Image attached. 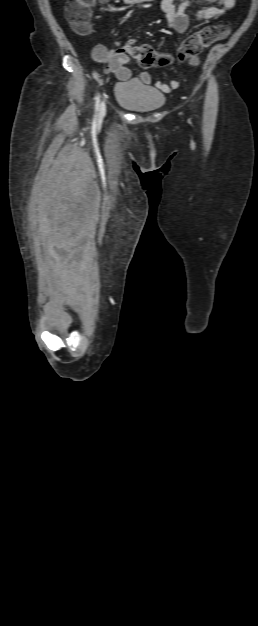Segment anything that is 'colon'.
<instances>
[{"mask_svg": "<svg viewBox=\"0 0 258 626\" xmlns=\"http://www.w3.org/2000/svg\"><path fill=\"white\" fill-rule=\"evenodd\" d=\"M94 0H68L66 5L67 19L77 33L84 34L90 30V7ZM229 28L225 25L208 26L190 35L179 47L177 57L187 60L196 56L203 48L225 38ZM129 53L141 66L152 67L166 64L169 60L158 57L149 45H136L129 40L125 45Z\"/></svg>", "mask_w": 258, "mask_h": 626, "instance_id": "1", "label": "colon"}]
</instances>
